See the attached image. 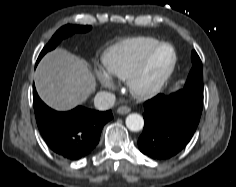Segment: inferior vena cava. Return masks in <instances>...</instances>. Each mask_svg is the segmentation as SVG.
<instances>
[{"mask_svg":"<svg viewBox=\"0 0 236 187\" xmlns=\"http://www.w3.org/2000/svg\"><path fill=\"white\" fill-rule=\"evenodd\" d=\"M116 97L114 94L101 91L98 92L94 98V106L98 110H108L113 107Z\"/></svg>","mask_w":236,"mask_h":187,"instance_id":"602c4592","label":"inferior vena cava"}]
</instances>
